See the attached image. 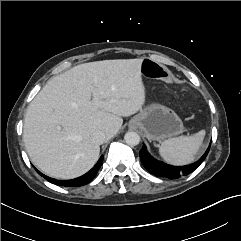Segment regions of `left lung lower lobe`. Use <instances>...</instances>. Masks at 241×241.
<instances>
[{"instance_id":"left-lung-lower-lobe-1","label":"left lung lower lobe","mask_w":241,"mask_h":241,"mask_svg":"<svg viewBox=\"0 0 241 241\" xmlns=\"http://www.w3.org/2000/svg\"><path fill=\"white\" fill-rule=\"evenodd\" d=\"M209 149L210 145L205 154L197 162L186 166H172L156 160L147 152L145 145H143L139 155L143 166L153 175L167 177L169 179H177L193 172L204 161Z\"/></svg>"}]
</instances>
